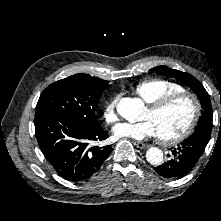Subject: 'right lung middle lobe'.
<instances>
[{"mask_svg":"<svg viewBox=\"0 0 221 221\" xmlns=\"http://www.w3.org/2000/svg\"><path fill=\"white\" fill-rule=\"evenodd\" d=\"M108 82L88 74H76L50 84L37 107L64 115L86 127H99L95 110Z\"/></svg>","mask_w":221,"mask_h":221,"instance_id":"right-lung-middle-lobe-1","label":"right lung middle lobe"}]
</instances>
